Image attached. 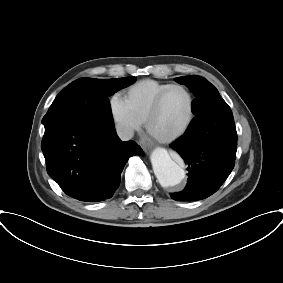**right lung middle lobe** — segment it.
<instances>
[{
  "label": "right lung middle lobe",
  "instance_id": "right-lung-middle-lobe-1",
  "mask_svg": "<svg viewBox=\"0 0 283 283\" xmlns=\"http://www.w3.org/2000/svg\"><path fill=\"white\" fill-rule=\"evenodd\" d=\"M135 79L133 76L118 79H77L56 96L42 123L45 127L64 119L113 123L108 96L131 85Z\"/></svg>",
  "mask_w": 283,
  "mask_h": 283
}]
</instances>
